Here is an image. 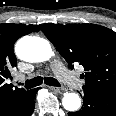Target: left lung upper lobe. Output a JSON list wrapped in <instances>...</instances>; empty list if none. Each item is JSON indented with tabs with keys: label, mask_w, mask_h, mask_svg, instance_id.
<instances>
[{
	"label": "left lung upper lobe",
	"mask_w": 116,
	"mask_h": 116,
	"mask_svg": "<svg viewBox=\"0 0 116 116\" xmlns=\"http://www.w3.org/2000/svg\"><path fill=\"white\" fill-rule=\"evenodd\" d=\"M69 63L84 67L85 85L116 92V33L96 24H44L41 28Z\"/></svg>",
	"instance_id": "left-lung-upper-lobe-1"
}]
</instances>
